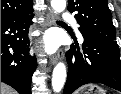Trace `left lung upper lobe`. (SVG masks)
Instances as JSON below:
<instances>
[{
    "label": "left lung upper lobe",
    "instance_id": "5c2ea615",
    "mask_svg": "<svg viewBox=\"0 0 121 94\" xmlns=\"http://www.w3.org/2000/svg\"><path fill=\"white\" fill-rule=\"evenodd\" d=\"M68 11L75 12L82 35L116 40V30L107 0H68Z\"/></svg>",
    "mask_w": 121,
    "mask_h": 94
}]
</instances>
